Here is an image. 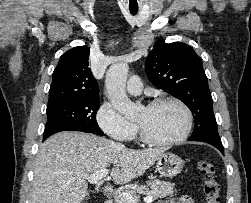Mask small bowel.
<instances>
[{"mask_svg": "<svg viewBox=\"0 0 251 203\" xmlns=\"http://www.w3.org/2000/svg\"><path fill=\"white\" fill-rule=\"evenodd\" d=\"M160 203H194L193 199L188 196H183L180 198H172L168 201L160 202Z\"/></svg>", "mask_w": 251, "mask_h": 203, "instance_id": "c3829d8e", "label": "small bowel"}]
</instances>
